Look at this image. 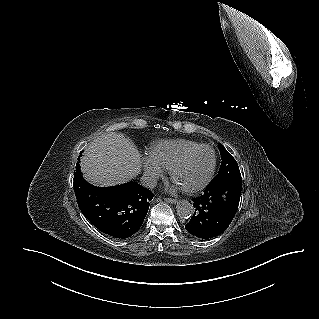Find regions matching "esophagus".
Returning <instances> with one entry per match:
<instances>
[{
	"mask_svg": "<svg viewBox=\"0 0 319 319\" xmlns=\"http://www.w3.org/2000/svg\"><path fill=\"white\" fill-rule=\"evenodd\" d=\"M164 200H165L166 202H168V203H171V204L177 203V200H176V199H173V198H165Z\"/></svg>",
	"mask_w": 319,
	"mask_h": 319,
	"instance_id": "esophagus-1",
	"label": "esophagus"
}]
</instances>
